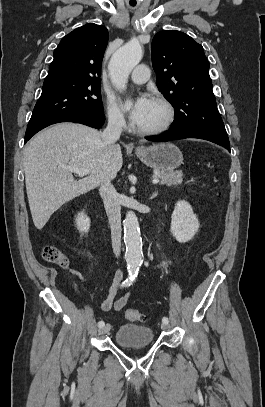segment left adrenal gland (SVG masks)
I'll list each match as a JSON object with an SVG mask.
<instances>
[{"instance_id":"1","label":"left adrenal gland","mask_w":265,"mask_h":407,"mask_svg":"<svg viewBox=\"0 0 265 407\" xmlns=\"http://www.w3.org/2000/svg\"><path fill=\"white\" fill-rule=\"evenodd\" d=\"M157 195V192L153 193V195L150 197V199L155 198Z\"/></svg>"}]
</instances>
